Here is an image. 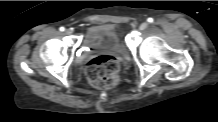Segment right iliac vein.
<instances>
[{
	"mask_svg": "<svg viewBox=\"0 0 218 122\" xmlns=\"http://www.w3.org/2000/svg\"><path fill=\"white\" fill-rule=\"evenodd\" d=\"M65 34H66V35H71V34H72V31H71L70 29H67V30H65Z\"/></svg>",
	"mask_w": 218,
	"mask_h": 122,
	"instance_id": "63e3f726",
	"label": "right iliac vein"
}]
</instances>
